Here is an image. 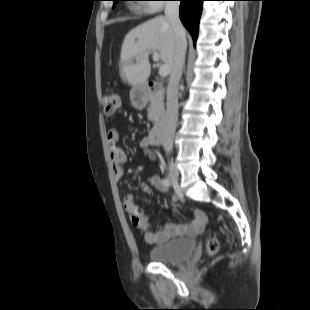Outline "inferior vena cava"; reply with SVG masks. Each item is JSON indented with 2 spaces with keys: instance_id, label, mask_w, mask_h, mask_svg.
Listing matches in <instances>:
<instances>
[{
  "instance_id": "inferior-vena-cava-1",
  "label": "inferior vena cava",
  "mask_w": 310,
  "mask_h": 310,
  "mask_svg": "<svg viewBox=\"0 0 310 310\" xmlns=\"http://www.w3.org/2000/svg\"><path fill=\"white\" fill-rule=\"evenodd\" d=\"M179 6V1H167L165 4V15L172 25L175 36L173 65L167 87L166 114L162 126L163 148L167 153L173 149V140L178 119V86L182 76L187 48L185 30L179 18Z\"/></svg>"
}]
</instances>
